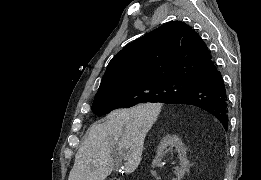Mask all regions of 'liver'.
<instances>
[{"mask_svg":"<svg viewBox=\"0 0 261 180\" xmlns=\"http://www.w3.org/2000/svg\"><path fill=\"white\" fill-rule=\"evenodd\" d=\"M159 104H140L129 110H114L103 122H95L87 132L68 180H106L117 160H125L124 170L138 168L144 140L158 116ZM123 148H128L122 156Z\"/></svg>","mask_w":261,"mask_h":180,"instance_id":"1","label":"liver"}]
</instances>
